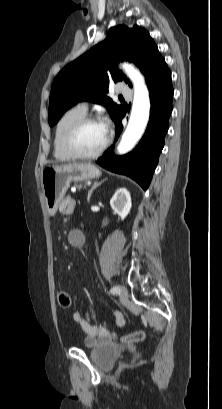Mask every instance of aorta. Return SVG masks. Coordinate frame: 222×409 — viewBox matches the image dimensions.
Returning a JSON list of instances; mask_svg holds the SVG:
<instances>
[{
  "label": "aorta",
  "mask_w": 222,
  "mask_h": 409,
  "mask_svg": "<svg viewBox=\"0 0 222 409\" xmlns=\"http://www.w3.org/2000/svg\"><path fill=\"white\" fill-rule=\"evenodd\" d=\"M123 69L133 83L134 99L127 128L117 147V153L120 155L131 151L141 139L150 116L149 92L144 78L131 65L124 64Z\"/></svg>",
  "instance_id": "obj_1"
}]
</instances>
